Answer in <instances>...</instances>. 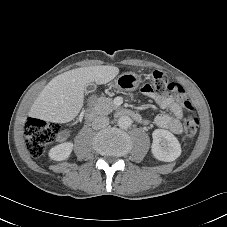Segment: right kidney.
I'll return each instance as SVG.
<instances>
[{"instance_id": "obj_1", "label": "right kidney", "mask_w": 227, "mask_h": 227, "mask_svg": "<svg viewBox=\"0 0 227 227\" xmlns=\"http://www.w3.org/2000/svg\"><path fill=\"white\" fill-rule=\"evenodd\" d=\"M72 149H73L72 142L61 143L50 149L49 157L55 161L65 160L70 156Z\"/></svg>"}]
</instances>
